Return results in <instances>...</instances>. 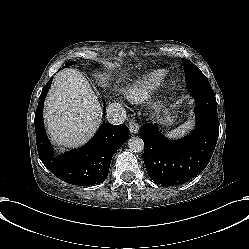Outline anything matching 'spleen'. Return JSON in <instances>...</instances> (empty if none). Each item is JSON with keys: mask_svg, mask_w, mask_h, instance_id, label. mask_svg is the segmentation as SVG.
Here are the masks:
<instances>
[{"mask_svg": "<svg viewBox=\"0 0 249 249\" xmlns=\"http://www.w3.org/2000/svg\"><path fill=\"white\" fill-rule=\"evenodd\" d=\"M194 128V120H188L184 124L180 125L178 128L173 129L165 134V137L177 140L183 138L187 133H189Z\"/></svg>", "mask_w": 249, "mask_h": 249, "instance_id": "1", "label": "spleen"}]
</instances>
